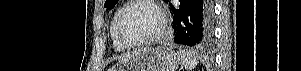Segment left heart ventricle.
I'll return each instance as SVG.
<instances>
[{
  "label": "left heart ventricle",
  "instance_id": "left-heart-ventricle-1",
  "mask_svg": "<svg viewBox=\"0 0 301 71\" xmlns=\"http://www.w3.org/2000/svg\"><path fill=\"white\" fill-rule=\"evenodd\" d=\"M160 26L157 11L146 4H136L128 8L122 20L125 38L136 42L155 34Z\"/></svg>",
  "mask_w": 301,
  "mask_h": 71
}]
</instances>
